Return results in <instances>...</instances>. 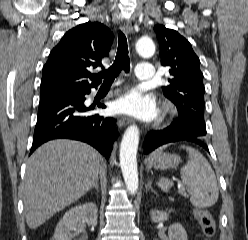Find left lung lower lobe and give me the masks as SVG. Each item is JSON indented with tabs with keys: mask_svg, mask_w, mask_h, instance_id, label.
Returning <instances> with one entry per match:
<instances>
[{
	"mask_svg": "<svg viewBox=\"0 0 248 240\" xmlns=\"http://www.w3.org/2000/svg\"><path fill=\"white\" fill-rule=\"evenodd\" d=\"M201 136L203 135L200 132L191 127L171 124L163 130L151 131L148 133L143 144L144 153L148 154L163 144L177 141L192 142L208 151V147L201 140Z\"/></svg>",
	"mask_w": 248,
	"mask_h": 240,
	"instance_id": "left-lung-lower-lobe-1",
	"label": "left lung lower lobe"
}]
</instances>
